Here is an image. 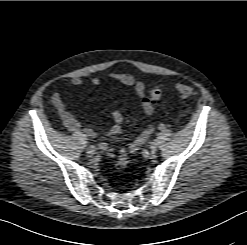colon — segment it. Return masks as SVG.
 <instances>
[{
  "instance_id": "5ec220e1",
  "label": "colon",
  "mask_w": 247,
  "mask_h": 245,
  "mask_svg": "<svg viewBox=\"0 0 247 245\" xmlns=\"http://www.w3.org/2000/svg\"><path fill=\"white\" fill-rule=\"evenodd\" d=\"M175 88L176 91L180 94V96L184 99H188L196 96V92L190 86L184 84H177ZM149 94H150V101L154 102L161 98L162 91L159 88H154L150 90ZM127 165H128V153L126 149L121 148L118 155L117 168L119 170H125L127 168Z\"/></svg>"
}]
</instances>
